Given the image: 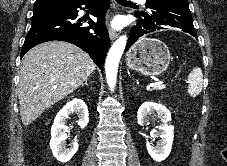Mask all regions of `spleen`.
I'll use <instances>...</instances> for the list:
<instances>
[{
    "label": "spleen",
    "mask_w": 227,
    "mask_h": 166,
    "mask_svg": "<svg viewBox=\"0 0 227 166\" xmlns=\"http://www.w3.org/2000/svg\"><path fill=\"white\" fill-rule=\"evenodd\" d=\"M188 83V94L192 97L199 95L203 88V74L200 68H194L188 75Z\"/></svg>",
    "instance_id": "obj_1"
}]
</instances>
